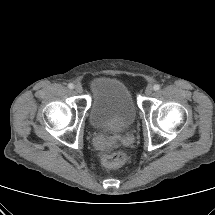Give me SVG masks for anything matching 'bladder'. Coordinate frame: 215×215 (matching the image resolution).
Returning a JSON list of instances; mask_svg holds the SVG:
<instances>
[{"label":"bladder","instance_id":"bladder-1","mask_svg":"<svg viewBox=\"0 0 215 215\" xmlns=\"http://www.w3.org/2000/svg\"><path fill=\"white\" fill-rule=\"evenodd\" d=\"M89 120L100 131L121 133L136 118V106L128 88L119 80L99 76L90 82Z\"/></svg>","mask_w":215,"mask_h":215}]
</instances>
